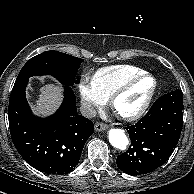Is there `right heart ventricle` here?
<instances>
[{
	"mask_svg": "<svg viewBox=\"0 0 194 194\" xmlns=\"http://www.w3.org/2000/svg\"><path fill=\"white\" fill-rule=\"evenodd\" d=\"M143 72L133 65H113L98 69L91 80L98 93L107 100L120 84Z\"/></svg>",
	"mask_w": 194,
	"mask_h": 194,
	"instance_id": "right-heart-ventricle-1",
	"label": "right heart ventricle"
}]
</instances>
